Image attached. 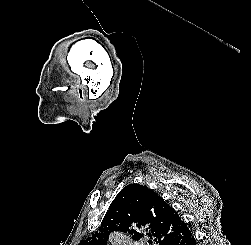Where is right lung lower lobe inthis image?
Instances as JSON below:
<instances>
[{
    "instance_id": "1",
    "label": "right lung lower lobe",
    "mask_w": 251,
    "mask_h": 245,
    "mask_svg": "<svg viewBox=\"0 0 251 245\" xmlns=\"http://www.w3.org/2000/svg\"><path fill=\"white\" fill-rule=\"evenodd\" d=\"M165 245H196V241L189 228H187L186 230L181 232L179 236L166 242Z\"/></svg>"
}]
</instances>
